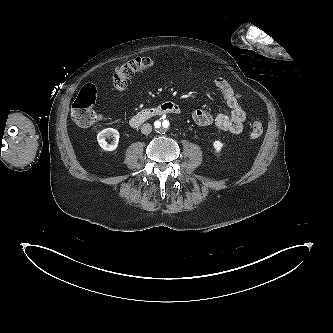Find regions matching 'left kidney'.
Listing matches in <instances>:
<instances>
[{"mask_svg": "<svg viewBox=\"0 0 333 333\" xmlns=\"http://www.w3.org/2000/svg\"><path fill=\"white\" fill-rule=\"evenodd\" d=\"M223 146H224V144L218 140L214 141V143H213V147H214L216 153H220Z\"/></svg>", "mask_w": 333, "mask_h": 333, "instance_id": "5707ae66", "label": "left kidney"}]
</instances>
